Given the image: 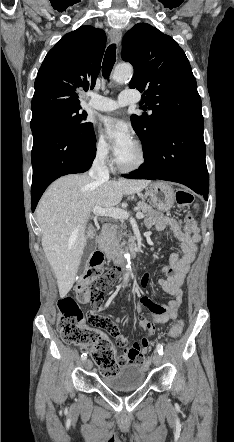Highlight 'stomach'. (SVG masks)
Returning <instances> with one entry per match:
<instances>
[{
	"label": "stomach",
	"mask_w": 234,
	"mask_h": 442,
	"mask_svg": "<svg viewBox=\"0 0 234 442\" xmlns=\"http://www.w3.org/2000/svg\"><path fill=\"white\" fill-rule=\"evenodd\" d=\"M148 194L153 205L160 211H168L175 202V192L172 186L164 182H154L150 185Z\"/></svg>",
	"instance_id": "1"
}]
</instances>
